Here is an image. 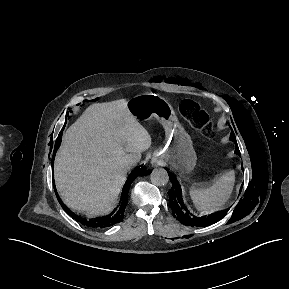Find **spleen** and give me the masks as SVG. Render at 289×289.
<instances>
[{
    "label": "spleen",
    "instance_id": "3e777b00",
    "mask_svg": "<svg viewBox=\"0 0 289 289\" xmlns=\"http://www.w3.org/2000/svg\"><path fill=\"white\" fill-rule=\"evenodd\" d=\"M235 183V171L222 173L208 188L191 187L190 196L195 207L201 211L222 210L228 202Z\"/></svg>",
    "mask_w": 289,
    "mask_h": 289
}]
</instances>
